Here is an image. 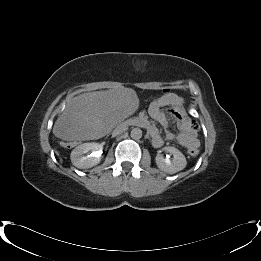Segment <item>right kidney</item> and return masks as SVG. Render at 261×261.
<instances>
[{
  "mask_svg": "<svg viewBox=\"0 0 261 261\" xmlns=\"http://www.w3.org/2000/svg\"><path fill=\"white\" fill-rule=\"evenodd\" d=\"M103 146L96 142L83 143L75 147L70 159L72 164L79 169H88L100 162ZM91 152L90 155H86Z\"/></svg>",
  "mask_w": 261,
  "mask_h": 261,
  "instance_id": "obj_1",
  "label": "right kidney"
}]
</instances>
